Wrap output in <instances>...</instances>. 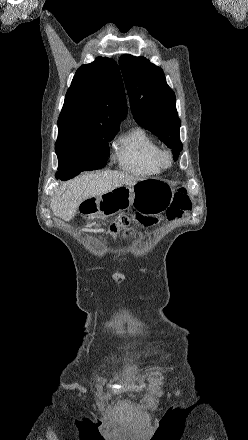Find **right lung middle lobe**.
Here are the masks:
<instances>
[{"label":"right lung middle lobe","mask_w":248,"mask_h":440,"mask_svg":"<svg viewBox=\"0 0 248 440\" xmlns=\"http://www.w3.org/2000/svg\"><path fill=\"white\" fill-rule=\"evenodd\" d=\"M117 132H97L76 143L55 148L59 160L57 178L68 180L81 171L104 167L110 155L108 142L113 140Z\"/></svg>","instance_id":"obj_1"}]
</instances>
